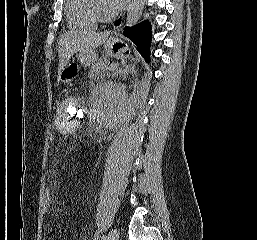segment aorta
I'll return each mask as SVG.
<instances>
[{
    "mask_svg": "<svg viewBox=\"0 0 257 240\" xmlns=\"http://www.w3.org/2000/svg\"><path fill=\"white\" fill-rule=\"evenodd\" d=\"M145 5V0H132L126 18V25L133 26L135 25L140 16L142 15Z\"/></svg>",
    "mask_w": 257,
    "mask_h": 240,
    "instance_id": "obj_1",
    "label": "aorta"
}]
</instances>
